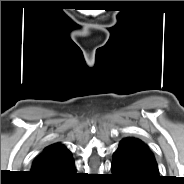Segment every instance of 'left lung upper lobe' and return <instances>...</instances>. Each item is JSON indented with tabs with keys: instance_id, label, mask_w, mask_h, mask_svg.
Wrapping results in <instances>:
<instances>
[{
	"instance_id": "left-lung-upper-lobe-1",
	"label": "left lung upper lobe",
	"mask_w": 184,
	"mask_h": 184,
	"mask_svg": "<svg viewBox=\"0 0 184 184\" xmlns=\"http://www.w3.org/2000/svg\"><path fill=\"white\" fill-rule=\"evenodd\" d=\"M123 140H133V141L137 142L138 144H140V145H142V146H144V147H146L148 149V147L139 139H136V138H125Z\"/></svg>"
}]
</instances>
